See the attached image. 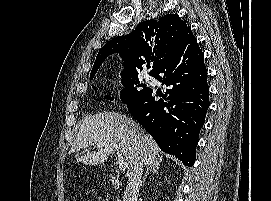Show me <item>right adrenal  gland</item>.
<instances>
[{"mask_svg":"<svg viewBox=\"0 0 271 201\" xmlns=\"http://www.w3.org/2000/svg\"><path fill=\"white\" fill-rule=\"evenodd\" d=\"M160 163H161V161H155V162H153L152 164L149 165V167L147 168L146 174L143 176L141 184L145 183V181L147 179V176L150 173H153V174L158 173V170L160 168Z\"/></svg>","mask_w":271,"mask_h":201,"instance_id":"2a0ac1e0","label":"right adrenal gland"}]
</instances>
